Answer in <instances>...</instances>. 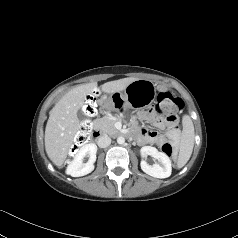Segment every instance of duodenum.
Returning a JSON list of instances; mask_svg holds the SVG:
<instances>
[{
  "label": "duodenum",
  "mask_w": 238,
  "mask_h": 238,
  "mask_svg": "<svg viewBox=\"0 0 238 238\" xmlns=\"http://www.w3.org/2000/svg\"><path fill=\"white\" fill-rule=\"evenodd\" d=\"M91 134H92L94 137L98 138V137H100L101 132H100L98 129H95V128H94V129H92Z\"/></svg>",
  "instance_id": "duodenum-1"
}]
</instances>
